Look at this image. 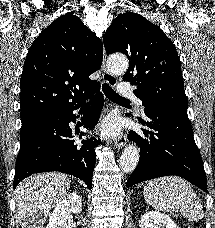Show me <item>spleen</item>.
Wrapping results in <instances>:
<instances>
[{
    "label": "spleen",
    "mask_w": 215,
    "mask_h": 228,
    "mask_svg": "<svg viewBox=\"0 0 215 228\" xmlns=\"http://www.w3.org/2000/svg\"><path fill=\"white\" fill-rule=\"evenodd\" d=\"M143 196L155 210L180 212L189 222H199L204 216L202 204L189 182L177 176L150 180L143 190Z\"/></svg>",
    "instance_id": "1"
}]
</instances>
